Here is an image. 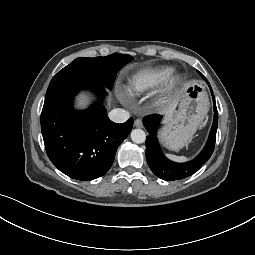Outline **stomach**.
I'll list each match as a JSON object with an SVG mask.
<instances>
[{
	"mask_svg": "<svg viewBox=\"0 0 255 255\" xmlns=\"http://www.w3.org/2000/svg\"><path fill=\"white\" fill-rule=\"evenodd\" d=\"M208 97L204 87L192 82L184 86L178 111L167 119L160 132L162 144L170 150L187 145L208 112Z\"/></svg>",
	"mask_w": 255,
	"mask_h": 255,
	"instance_id": "obj_1",
	"label": "stomach"
}]
</instances>
